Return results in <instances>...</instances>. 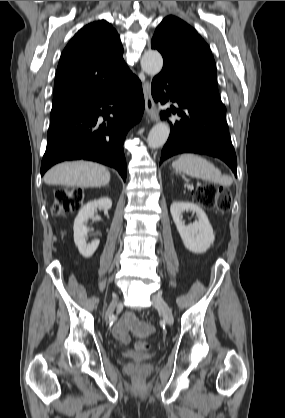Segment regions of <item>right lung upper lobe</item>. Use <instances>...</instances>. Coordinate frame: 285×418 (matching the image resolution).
<instances>
[{
	"instance_id": "1",
	"label": "right lung upper lobe",
	"mask_w": 285,
	"mask_h": 418,
	"mask_svg": "<svg viewBox=\"0 0 285 418\" xmlns=\"http://www.w3.org/2000/svg\"><path fill=\"white\" fill-rule=\"evenodd\" d=\"M120 37L105 20L80 29L61 54L52 109L82 106L122 86L131 76Z\"/></svg>"
}]
</instances>
